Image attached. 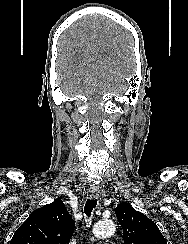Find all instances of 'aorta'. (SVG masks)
Returning <instances> with one entry per match:
<instances>
[{"label":"aorta","instance_id":"762f6f07","mask_svg":"<svg viewBox=\"0 0 188 244\" xmlns=\"http://www.w3.org/2000/svg\"><path fill=\"white\" fill-rule=\"evenodd\" d=\"M115 224L112 220H102L93 227V234L99 238H106L115 233Z\"/></svg>","mask_w":188,"mask_h":244}]
</instances>
